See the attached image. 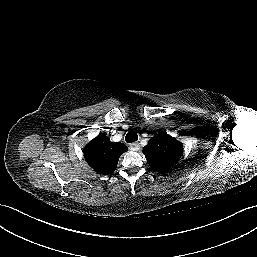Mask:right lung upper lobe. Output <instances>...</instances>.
Returning <instances> with one entry per match:
<instances>
[{
	"label": "right lung upper lobe",
	"instance_id": "1",
	"mask_svg": "<svg viewBox=\"0 0 257 257\" xmlns=\"http://www.w3.org/2000/svg\"><path fill=\"white\" fill-rule=\"evenodd\" d=\"M127 150L125 144L113 143L107 136L99 134L84 148V156L98 174L108 175L115 171L119 157Z\"/></svg>",
	"mask_w": 257,
	"mask_h": 257
}]
</instances>
